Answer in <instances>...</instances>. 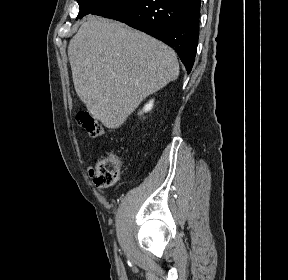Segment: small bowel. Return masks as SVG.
Returning a JSON list of instances; mask_svg holds the SVG:
<instances>
[{
    "label": "small bowel",
    "mask_w": 288,
    "mask_h": 280,
    "mask_svg": "<svg viewBox=\"0 0 288 280\" xmlns=\"http://www.w3.org/2000/svg\"><path fill=\"white\" fill-rule=\"evenodd\" d=\"M88 175H89L90 177H93V176H94V170H93L92 168H89V169H88Z\"/></svg>",
    "instance_id": "obj_1"
}]
</instances>
